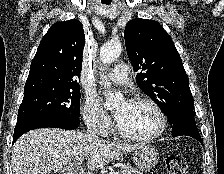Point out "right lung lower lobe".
Here are the masks:
<instances>
[{
	"label": "right lung lower lobe",
	"instance_id": "1",
	"mask_svg": "<svg viewBox=\"0 0 224 174\" xmlns=\"http://www.w3.org/2000/svg\"><path fill=\"white\" fill-rule=\"evenodd\" d=\"M80 124V120L57 121L46 120L38 117H23L17 120L13 143L24 133L37 128H62L65 130L76 129Z\"/></svg>",
	"mask_w": 224,
	"mask_h": 174
}]
</instances>
